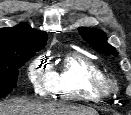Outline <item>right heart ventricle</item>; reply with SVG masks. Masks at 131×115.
<instances>
[{"mask_svg":"<svg viewBox=\"0 0 131 115\" xmlns=\"http://www.w3.org/2000/svg\"><path fill=\"white\" fill-rule=\"evenodd\" d=\"M53 74V94L62 100L98 103L111 94L102 86L104 74L97 63L78 51L65 54Z\"/></svg>","mask_w":131,"mask_h":115,"instance_id":"obj_1","label":"right heart ventricle"}]
</instances>
